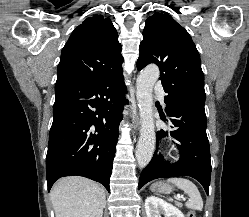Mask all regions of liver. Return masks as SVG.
I'll use <instances>...</instances> for the list:
<instances>
[{
  "label": "liver",
  "instance_id": "liver-1",
  "mask_svg": "<svg viewBox=\"0 0 249 217\" xmlns=\"http://www.w3.org/2000/svg\"><path fill=\"white\" fill-rule=\"evenodd\" d=\"M55 217H102L105 191L86 178L71 176L57 181L51 190Z\"/></svg>",
  "mask_w": 249,
  "mask_h": 217
}]
</instances>
